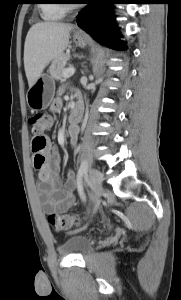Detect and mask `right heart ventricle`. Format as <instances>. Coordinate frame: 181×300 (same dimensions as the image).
<instances>
[{"mask_svg": "<svg viewBox=\"0 0 181 300\" xmlns=\"http://www.w3.org/2000/svg\"><path fill=\"white\" fill-rule=\"evenodd\" d=\"M40 15L45 21H58L66 13V9L58 3V0H44L40 5Z\"/></svg>", "mask_w": 181, "mask_h": 300, "instance_id": "obj_1", "label": "right heart ventricle"}]
</instances>
